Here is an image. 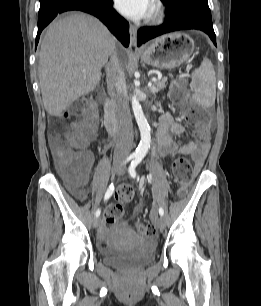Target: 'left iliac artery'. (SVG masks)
I'll return each instance as SVG.
<instances>
[{
  "label": "left iliac artery",
  "instance_id": "obj_1",
  "mask_svg": "<svg viewBox=\"0 0 261 306\" xmlns=\"http://www.w3.org/2000/svg\"><path fill=\"white\" fill-rule=\"evenodd\" d=\"M142 158L136 157L130 164L129 168H128V172L130 174L131 177L136 178V167L137 165L141 162ZM159 214L160 216L164 215V210L162 207H159Z\"/></svg>",
  "mask_w": 261,
  "mask_h": 306
}]
</instances>
